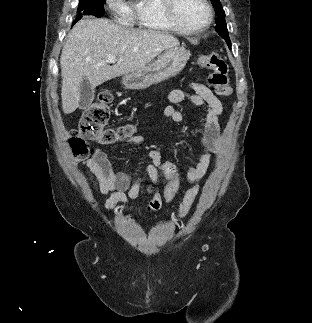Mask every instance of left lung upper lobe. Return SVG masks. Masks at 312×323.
Returning a JSON list of instances; mask_svg holds the SVG:
<instances>
[{"label": "left lung upper lobe", "instance_id": "left-lung-upper-lobe-1", "mask_svg": "<svg viewBox=\"0 0 312 323\" xmlns=\"http://www.w3.org/2000/svg\"><path fill=\"white\" fill-rule=\"evenodd\" d=\"M214 10L217 13V20H216V31L220 36H222L225 41L227 42L228 46L231 47V41L228 35L227 24L225 22V12L222 8L220 0H211Z\"/></svg>", "mask_w": 312, "mask_h": 323}]
</instances>
